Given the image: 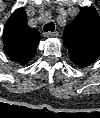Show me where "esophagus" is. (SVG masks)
Listing matches in <instances>:
<instances>
[{
	"mask_svg": "<svg viewBox=\"0 0 100 118\" xmlns=\"http://www.w3.org/2000/svg\"><path fill=\"white\" fill-rule=\"evenodd\" d=\"M58 32L57 31H54V32H44V36L45 37H55V36H58Z\"/></svg>",
	"mask_w": 100,
	"mask_h": 118,
	"instance_id": "obj_1",
	"label": "esophagus"
}]
</instances>
